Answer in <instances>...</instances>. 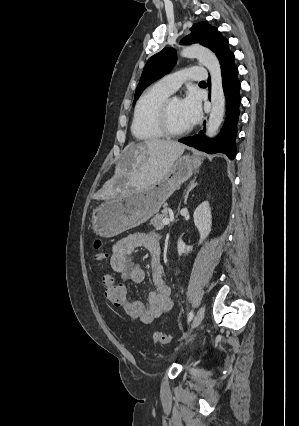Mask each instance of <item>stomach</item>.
<instances>
[{"instance_id":"stomach-1","label":"stomach","mask_w":299,"mask_h":426,"mask_svg":"<svg viewBox=\"0 0 299 426\" xmlns=\"http://www.w3.org/2000/svg\"><path fill=\"white\" fill-rule=\"evenodd\" d=\"M202 160L197 153L180 156L160 181L146 188H132L102 203L92 213L93 231L99 236L110 238L146 222L199 169Z\"/></svg>"}]
</instances>
